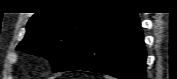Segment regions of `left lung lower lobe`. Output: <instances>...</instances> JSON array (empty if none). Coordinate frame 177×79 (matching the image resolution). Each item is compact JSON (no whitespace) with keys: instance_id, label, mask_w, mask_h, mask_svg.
<instances>
[{"instance_id":"left-lung-lower-lobe-1","label":"left lung lower lobe","mask_w":177,"mask_h":79,"mask_svg":"<svg viewBox=\"0 0 177 79\" xmlns=\"http://www.w3.org/2000/svg\"><path fill=\"white\" fill-rule=\"evenodd\" d=\"M146 51L136 13L107 12L59 70H87L119 79H145Z\"/></svg>"}]
</instances>
